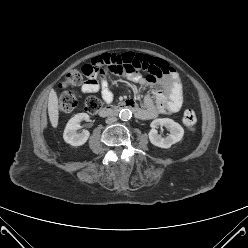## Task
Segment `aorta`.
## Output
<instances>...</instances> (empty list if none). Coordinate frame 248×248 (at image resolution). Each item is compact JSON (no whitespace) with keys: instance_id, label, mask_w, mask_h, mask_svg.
<instances>
[{"instance_id":"1","label":"aorta","mask_w":248,"mask_h":248,"mask_svg":"<svg viewBox=\"0 0 248 248\" xmlns=\"http://www.w3.org/2000/svg\"><path fill=\"white\" fill-rule=\"evenodd\" d=\"M121 120L127 121L132 117V112L129 109H122L119 113Z\"/></svg>"}]
</instances>
